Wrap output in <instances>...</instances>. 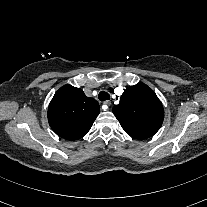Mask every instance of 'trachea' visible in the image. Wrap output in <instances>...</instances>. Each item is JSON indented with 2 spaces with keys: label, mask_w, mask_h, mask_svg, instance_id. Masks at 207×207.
Here are the masks:
<instances>
[{
  "label": "trachea",
  "mask_w": 207,
  "mask_h": 207,
  "mask_svg": "<svg viewBox=\"0 0 207 207\" xmlns=\"http://www.w3.org/2000/svg\"><path fill=\"white\" fill-rule=\"evenodd\" d=\"M109 99H110V95L107 92L101 91L99 93V100L100 101H105V100H109Z\"/></svg>",
  "instance_id": "trachea-1"
}]
</instances>
